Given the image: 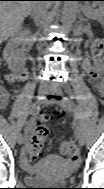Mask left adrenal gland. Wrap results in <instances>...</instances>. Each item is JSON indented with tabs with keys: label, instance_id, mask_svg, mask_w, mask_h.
Returning <instances> with one entry per match:
<instances>
[{
	"label": "left adrenal gland",
	"instance_id": "left-adrenal-gland-1",
	"mask_svg": "<svg viewBox=\"0 0 104 189\" xmlns=\"http://www.w3.org/2000/svg\"><path fill=\"white\" fill-rule=\"evenodd\" d=\"M80 21H81V22H83V23H84V22H86V23H87V20H86V19H84L82 16H80Z\"/></svg>",
	"mask_w": 104,
	"mask_h": 189
}]
</instances>
